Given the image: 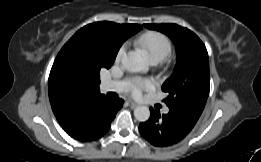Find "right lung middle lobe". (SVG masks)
<instances>
[{"instance_id": "right-lung-middle-lobe-1", "label": "right lung middle lobe", "mask_w": 261, "mask_h": 162, "mask_svg": "<svg viewBox=\"0 0 261 162\" xmlns=\"http://www.w3.org/2000/svg\"><path fill=\"white\" fill-rule=\"evenodd\" d=\"M123 41L119 33L101 30L80 42H67L54 61L48 82L59 92L99 84L101 68L112 66Z\"/></svg>"}]
</instances>
